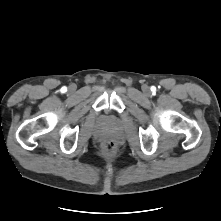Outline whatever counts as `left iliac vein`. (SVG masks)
Returning a JSON list of instances; mask_svg holds the SVG:
<instances>
[{
    "instance_id": "4c4485c4",
    "label": "left iliac vein",
    "mask_w": 221,
    "mask_h": 221,
    "mask_svg": "<svg viewBox=\"0 0 221 221\" xmlns=\"http://www.w3.org/2000/svg\"><path fill=\"white\" fill-rule=\"evenodd\" d=\"M144 91H145V93L147 94V93L149 92L148 87H145V88H144Z\"/></svg>"
}]
</instances>
